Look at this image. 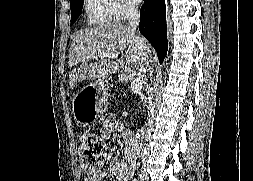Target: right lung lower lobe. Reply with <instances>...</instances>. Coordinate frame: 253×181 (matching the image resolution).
<instances>
[{
	"mask_svg": "<svg viewBox=\"0 0 253 181\" xmlns=\"http://www.w3.org/2000/svg\"><path fill=\"white\" fill-rule=\"evenodd\" d=\"M164 0H144L140 10V33L147 38L162 63L167 52V32Z\"/></svg>",
	"mask_w": 253,
	"mask_h": 181,
	"instance_id": "1",
	"label": "right lung lower lobe"
}]
</instances>
